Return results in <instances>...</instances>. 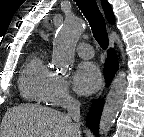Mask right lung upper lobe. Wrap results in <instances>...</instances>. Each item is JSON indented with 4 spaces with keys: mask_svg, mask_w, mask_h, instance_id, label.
Here are the masks:
<instances>
[{
    "mask_svg": "<svg viewBox=\"0 0 144 137\" xmlns=\"http://www.w3.org/2000/svg\"><path fill=\"white\" fill-rule=\"evenodd\" d=\"M102 7H103V10L105 12V16H106L108 22L111 24H114L115 16H114L111 6L107 2V0H102Z\"/></svg>",
    "mask_w": 144,
    "mask_h": 137,
    "instance_id": "obj_1",
    "label": "right lung upper lobe"
}]
</instances>
